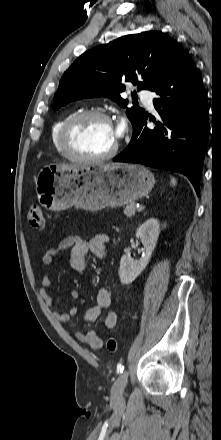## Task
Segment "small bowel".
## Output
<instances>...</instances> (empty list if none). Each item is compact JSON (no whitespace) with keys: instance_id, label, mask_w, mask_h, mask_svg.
Here are the masks:
<instances>
[{"instance_id":"obj_1","label":"small bowel","mask_w":221,"mask_h":440,"mask_svg":"<svg viewBox=\"0 0 221 440\" xmlns=\"http://www.w3.org/2000/svg\"><path fill=\"white\" fill-rule=\"evenodd\" d=\"M108 238L105 235H97L90 239H84L80 236H67L61 240V242L54 248L47 250L42 256V265L49 267L54 257L61 251L71 248L70 253V265L73 270L77 272L85 271L87 267V254L91 252L100 258L106 256V243ZM52 287L51 276L48 271H45L41 278V287L39 289L40 295L43 297L46 305L50 308L54 306V300L50 295V289ZM71 298L76 300L79 298V292L74 290L71 292ZM111 292L107 287H103L99 290L96 297V304L89 308L84 319L86 322H95L104 310H107L111 305ZM77 313L75 307L71 308L67 312H56L54 317L60 322H68L72 316ZM104 326L108 329L115 328L117 324V314L114 311H107L103 316ZM76 338L81 343L88 344L93 349H99L102 347V338L99 336L96 330H89L87 332H77Z\"/></svg>"}]
</instances>
